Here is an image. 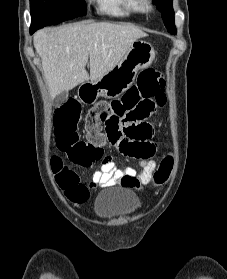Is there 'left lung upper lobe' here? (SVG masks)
I'll list each match as a JSON object with an SVG mask.
<instances>
[{"mask_svg":"<svg viewBox=\"0 0 227 279\" xmlns=\"http://www.w3.org/2000/svg\"><path fill=\"white\" fill-rule=\"evenodd\" d=\"M158 10L161 12L164 24L171 34H176L174 25V10L172 7V0H153Z\"/></svg>","mask_w":227,"mask_h":279,"instance_id":"5c2ea615","label":"left lung upper lobe"}]
</instances>
